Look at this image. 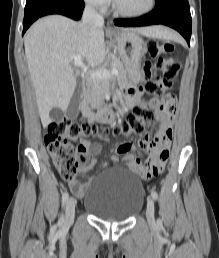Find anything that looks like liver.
Returning a JSON list of instances; mask_svg holds the SVG:
<instances>
[{
  "instance_id": "liver-1",
  "label": "liver",
  "mask_w": 219,
  "mask_h": 258,
  "mask_svg": "<svg viewBox=\"0 0 219 258\" xmlns=\"http://www.w3.org/2000/svg\"><path fill=\"white\" fill-rule=\"evenodd\" d=\"M162 29L144 27L122 31L133 30L147 37H159ZM24 46L43 124L50 122L49 113L53 108L64 111L68 108L77 85L71 66L73 57L81 56L91 67L101 65L106 57L101 26L77 23L61 15H50L34 23L25 35Z\"/></svg>"
}]
</instances>
